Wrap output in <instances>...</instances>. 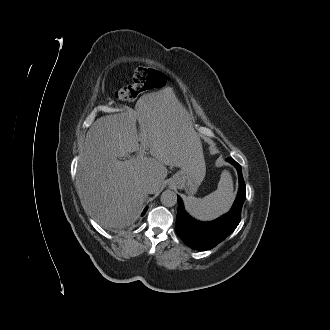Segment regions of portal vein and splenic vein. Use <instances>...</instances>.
I'll list each match as a JSON object with an SVG mask.
<instances>
[{"instance_id":"1","label":"portal vein and splenic vein","mask_w":330,"mask_h":330,"mask_svg":"<svg viewBox=\"0 0 330 330\" xmlns=\"http://www.w3.org/2000/svg\"><path fill=\"white\" fill-rule=\"evenodd\" d=\"M141 136H142V140L144 139V136H145V134H141ZM145 145V144H144Z\"/></svg>"}]
</instances>
